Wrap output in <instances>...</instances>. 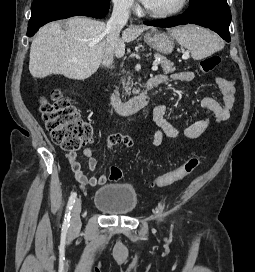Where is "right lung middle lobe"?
Masks as SVG:
<instances>
[{"label": "right lung middle lobe", "instance_id": "right-lung-middle-lobe-1", "mask_svg": "<svg viewBox=\"0 0 255 272\" xmlns=\"http://www.w3.org/2000/svg\"><path fill=\"white\" fill-rule=\"evenodd\" d=\"M102 1H105V2H110V0H102Z\"/></svg>", "mask_w": 255, "mask_h": 272}]
</instances>
